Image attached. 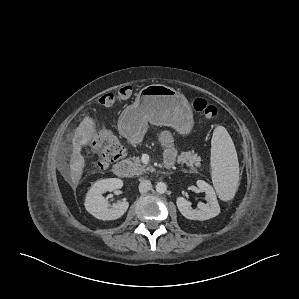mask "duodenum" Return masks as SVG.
Returning a JSON list of instances; mask_svg holds the SVG:
<instances>
[{
  "label": "duodenum",
  "mask_w": 299,
  "mask_h": 299,
  "mask_svg": "<svg viewBox=\"0 0 299 299\" xmlns=\"http://www.w3.org/2000/svg\"><path fill=\"white\" fill-rule=\"evenodd\" d=\"M167 166L170 165L167 164ZM113 171L116 176L120 178H125L129 175V166L125 161H120L114 165Z\"/></svg>",
  "instance_id": "duodenum-1"
}]
</instances>
